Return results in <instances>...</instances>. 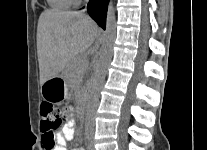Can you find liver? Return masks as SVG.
<instances>
[{
	"instance_id": "obj_1",
	"label": "liver",
	"mask_w": 207,
	"mask_h": 150,
	"mask_svg": "<svg viewBox=\"0 0 207 150\" xmlns=\"http://www.w3.org/2000/svg\"><path fill=\"white\" fill-rule=\"evenodd\" d=\"M98 35L95 23L81 12L44 11L37 27L40 84L58 77Z\"/></svg>"
}]
</instances>
